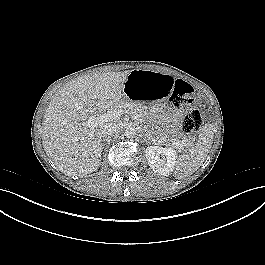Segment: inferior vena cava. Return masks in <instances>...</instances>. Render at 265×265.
Here are the masks:
<instances>
[{"instance_id":"1","label":"inferior vena cava","mask_w":265,"mask_h":265,"mask_svg":"<svg viewBox=\"0 0 265 265\" xmlns=\"http://www.w3.org/2000/svg\"><path fill=\"white\" fill-rule=\"evenodd\" d=\"M118 133V128L116 125H104L103 128L101 129V137L102 138H112L114 135Z\"/></svg>"}]
</instances>
